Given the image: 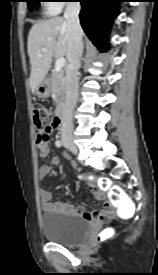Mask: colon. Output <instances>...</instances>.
Listing matches in <instances>:
<instances>
[{
    "label": "colon",
    "mask_w": 158,
    "mask_h": 275,
    "mask_svg": "<svg viewBox=\"0 0 158 275\" xmlns=\"http://www.w3.org/2000/svg\"><path fill=\"white\" fill-rule=\"evenodd\" d=\"M33 119L38 140L47 141L52 131L58 126V120L42 104H35L33 107ZM101 190L108 192L110 200L119 201L124 196V192L115 186L110 180L99 181ZM113 216L111 207L108 205L100 212L101 219H110ZM111 229H104L97 237L98 241H103L111 235Z\"/></svg>",
    "instance_id": "5ec220e1"
}]
</instances>
